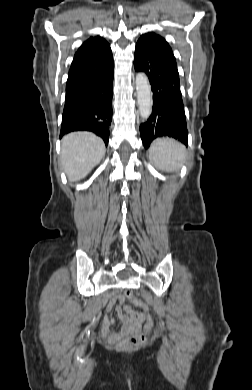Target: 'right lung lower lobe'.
<instances>
[{"label": "right lung lower lobe", "instance_id": "98d812e1", "mask_svg": "<svg viewBox=\"0 0 252 390\" xmlns=\"http://www.w3.org/2000/svg\"><path fill=\"white\" fill-rule=\"evenodd\" d=\"M113 68L66 87L60 138L72 131L87 130L109 140L112 121Z\"/></svg>", "mask_w": 252, "mask_h": 390}]
</instances>
